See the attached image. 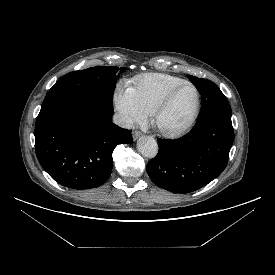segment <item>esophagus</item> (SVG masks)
<instances>
[{"mask_svg": "<svg viewBox=\"0 0 275 275\" xmlns=\"http://www.w3.org/2000/svg\"><path fill=\"white\" fill-rule=\"evenodd\" d=\"M132 135H133V140L135 141L142 135V133L140 131H134Z\"/></svg>", "mask_w": 275, "mask_h": 275, "instance_id": "esophagus-1", "label": "esophagus"}]
</instances>
